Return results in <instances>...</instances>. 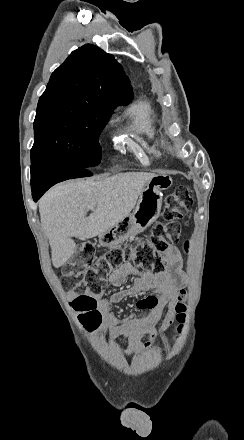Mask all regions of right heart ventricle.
Instances as JSON below:
<instances>
[{
    "label": "right heart ventricle",
    "mask_w": 244,
    "mask_h": 440,
    "mask_svg": "<svg viewBox=\"0 0 244 440\" xmlns=\"http://www.w3.org/2000/svg\"><path fill=\"white\" fill-rule=\"evenodd\" d=\"M151 106L146 101H140L127 108L125 113L119 117V122H126L131 128L125 132L134 136L137 132L153 139L155 131L151 119Z\"/></svg>",
    "instance_id": "obj_1"
}]
</instances>
